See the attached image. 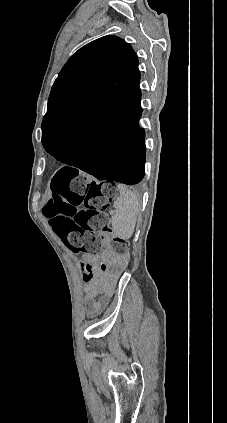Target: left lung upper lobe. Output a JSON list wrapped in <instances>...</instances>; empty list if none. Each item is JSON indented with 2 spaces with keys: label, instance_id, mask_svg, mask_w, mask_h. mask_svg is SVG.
<instances>
[{
  "label": "left lung upper lobe",
  "instance_id": "5c2ea615",
  "mask_svg": "<svg viewBox=\"0 0 227 423\" xmlns=\"http://www.w3.org/2000/svg\"><path fill=\"white\" fill-rule=\"evenodd\" d=\"M134 50L116 36L96 39L73 54L55 80L42 122L44 148L80 135L108 113L141 112Z\"/></svg>",
  "mask_w": 227,
  "mask_h": 423
}]
</instances>
